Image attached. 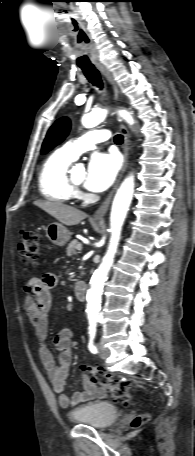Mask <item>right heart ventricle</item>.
<instances>
[{
  "instance_id": "obj_1",
  "label": "right heart ventricle",
  "mask_w": 195,
  "mask_h": 456,
  "mask_svg": "<svg viewBox=\"0 0 195 456\" xmlns=\"http://www.w3.org/2000/svg\"><path fill=\"white\" fill-rule=\"evenodd\" d=\"M73 161L61 149L45 160L38 176L39 191L43 197L68 202L75 196V190L68 181V168Z\"/></svg>"
}]
</instances>
